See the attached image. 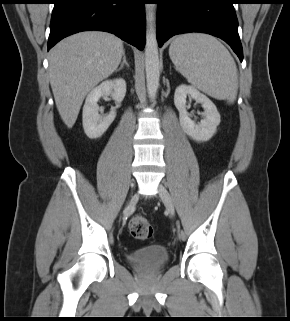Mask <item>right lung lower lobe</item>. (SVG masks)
<instances>
[{
	"label": "right lung lower lobe",
	"mask_w": 290,
	"mask_h": 321,
	"mask_svg": "<svg viewBox=\"0 0 290 321\" xmlns=\"http://www.w3.org/2000/svg\"><path fill=\"white\" fill-rule=\"evenodd\" d=\"M148 0H54L48 50L61 39L86 30L113 33L142 50L144 3Z\"/></svg>",
	"instance_id": "right-lung-lower-lobe-1"
}]
</instances>
